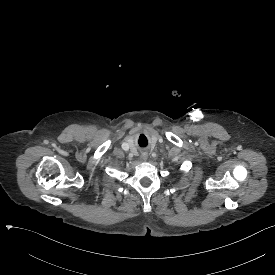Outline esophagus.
<instances>
[{
	"instance_id": "obj_1",
	"label": "esophagus",
	"mask_w": 275,
	"mask_h": 275,
	"mask_svg": "<svg viewBox=\"0 0 275 275\" xmlns=\"http://www.w3.org/2000/svg\"><path fill=\"white\" fill-rule=\"evenodd\" d=\"M141 157H142L143 160L146 161L147 158H148V154H147V153H146V154H145V153H142V154H141Z\"/></svg>"
}]
</instances>
